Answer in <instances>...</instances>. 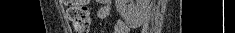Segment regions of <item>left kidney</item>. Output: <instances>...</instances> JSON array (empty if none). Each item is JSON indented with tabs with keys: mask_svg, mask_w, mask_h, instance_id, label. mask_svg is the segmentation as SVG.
Here are the masks:
<instances>
[{
	"mask_svg": "<svg viewBox=\"0 0 235 33\" xmlns=\"http://www.w3.org/2000/svg\"><path fill=\"white\" fill-rule=\"evenodd\" d=\"M150 0H115L117 12L128 25H140L149 8Z\"/></svg>",
	"mask_w": 235,
	"mask_h": 33,
	"instance_id": "5707ae66",
	"label": "left kidney"
}]
</instances>
